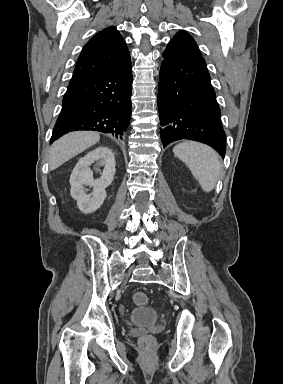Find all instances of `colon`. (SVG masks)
I'll return each instance as SVG.
<instances>
[{
    "mask_svg": "<svg viewBox=\"0 0 283 384\" xmlns=\"http://www.w3.org/2000/svg\"><path fill=\"white\" fill-rule=\"evenodd\" d=\"M133 302L137 306H144L148 303V297L144 292L137 291L133 294ZM140 343L144 347H149L153 343V338L149 335L143 336L140 339Z\"/></svg>",
    "mask_w": 283,
    "mask_h": 384,
    "instance_id": "colon-1",
    "label": "colon"
}]
</instances>
